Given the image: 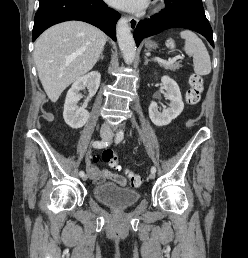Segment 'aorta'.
Instances as JSON below:
<instances>
[{
  "label": "aorta",
  "instance_id": "aorta-1",
  "mask_svg": "<svg viewBox=\"0 0 248 258\" xmlns=\"http://www.w3.org/2000/svg\"><path fill=\"white\" fill-rule=\"evenodd\" d=\"M116 35L124 60L127 63H132L136 56V45L126 18H121L118 21Z\"/></svg>",
  "mask_w": 248,
  "mask_h": 258
}]
</instances>
